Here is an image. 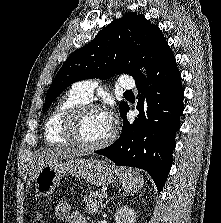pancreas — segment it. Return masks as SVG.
Returning <instances> with one entry per match:
<instances>
[{
  "label": "pancreas",
  "instance_id": "1",
  "mask_svg": "<svg viewBox=\"0 0 221 223\" xmlns=\"http://www.w3.org/2000/svg\"><path fill=\"white\" fill-rule=\"evenodd\" d=\"M104 198L103 193L100 192H91L88 196H85L84 201L88 213L92 215L98 214Z\"/></svg>",
  "mask_w": 221,
  "mask_h": 223
}]
</instances>
